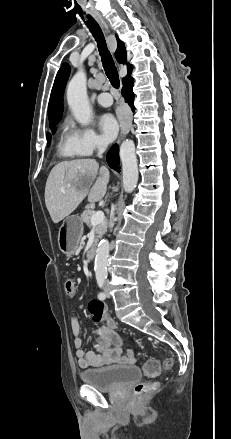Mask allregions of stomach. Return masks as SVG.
Here are the masks:
<instances>
[{"mask_svg":"<svg viewBox=\"0 0 231 439\" xmlns=\"http://www.w3.org/2000/svg\"><path fill=\"white\" fill-rule=\"evenodd\" d=\"M83 230L79 216L72 215L64 220L58 233V246L63 254L70 256L77 251Z\"/></svg>","mask_w":231,"mask_h":439,"instance_id":"obj_1","label":"stomach"}]
</instances>
